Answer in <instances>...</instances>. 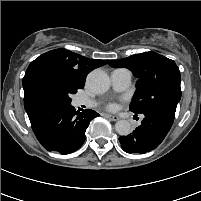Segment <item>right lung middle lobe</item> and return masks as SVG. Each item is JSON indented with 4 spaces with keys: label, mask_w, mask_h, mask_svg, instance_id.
Masks as SVG:
<instances>
[{
    "label": "right lung middle lobe",
    "mask_w": 201,
    "mask_h": 201,
    "mask_svg": "<svg viewBox=\"0 0 201 201\" xmlns=\"http://www.w3.org/2000/svg\"><path fill=\"white\" fill-rule=\"evenodd\" d=\"M32 89L34 92L71 103L70 95L75 94L79 87L64 79L57 72L45 69L34 77Z\"/></svg>",
    "instance_id": "dd1d6c3e"
}]
</instances>
